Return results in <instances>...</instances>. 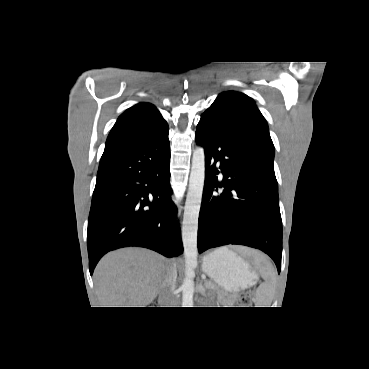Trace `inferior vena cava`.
I'll list each match as a JSON object with an SVG mask.
<instances>
[{
  "label": "inferior vena cava",
  "mask_w": 369,
  "mask_h": 369,
  "mask_svg": "<svg viewBox=\"0 0 369 369\" xmlns=\"http://www.w3.org/2000/svg\"><path fill=\"white\" fill-rule=\"evenodd\" d=\"M177 279V269L175 265L170 266L165 274L160 287V298L164 302V307H177L178 298L175 294V284Z\"/></svg>",
  "instance_id": "602c4592"
}]
</instances>
